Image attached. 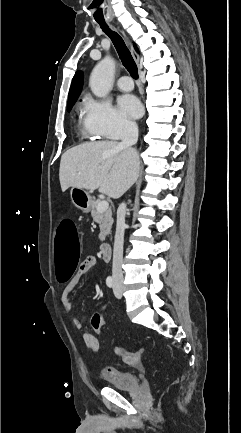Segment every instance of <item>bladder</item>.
I'll return each mask as SVG.
<instances>
[{
    "mask_svg": "<svg viewBox=\"0 0 241 433\" xmlns=\"http://www.w3.org/2000/svg\"><path fill=\"white\" fill-rule=\"evenodd\" d=\"M100 377L107 386L119 391H131L138 387V378L132 372L115 371L114 373L101 372Z\"/></svg>",
    "mask_w": 241,
    "mask_h": 433,
    "instance_id": "obj_1",
    "label": "bladder"
}]
</instances>
